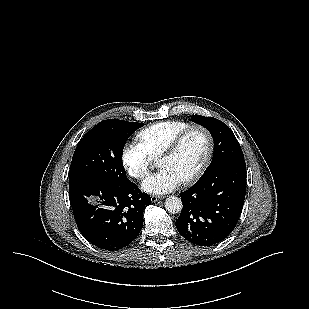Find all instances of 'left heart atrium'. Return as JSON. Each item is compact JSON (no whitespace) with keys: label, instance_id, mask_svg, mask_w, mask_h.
<instances>
[{"label":"left heart atrium","instance_id":"39dd6f15","mask_svg":"<svg viewBox=\"0 0 309 309\" xmlns=\"http://www.w3.org/2000/svg\"><path fill=\"white\" fill-rule=\"evenodd\" d=\"M182 183V180L168 168H162L156 174L147 178L142 188L152 194H165L175 190Z\"/></svg>","mask_w":309,"mask_h":309}]
</instances>
